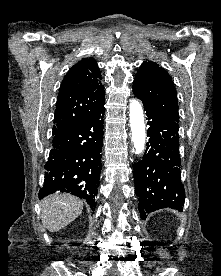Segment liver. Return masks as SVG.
<instances>
[{"label": "liver", "mask_w": 221, "mask_h": 276, "mask_svg": "<svg viewBox=\"0 0 221 276\" xmlns=\"http://www.w3.org/2000/svg\"><path fill=\"white\" fill-rule=\"evenodd\" d=\"M83 210V201L67 193H55L42 200L41 219L43 225L55 232L73 222Z\"/></svg>", "instance_id": "1"}]
</instances>
